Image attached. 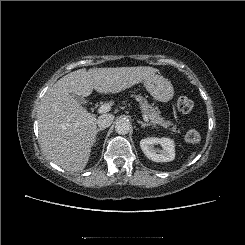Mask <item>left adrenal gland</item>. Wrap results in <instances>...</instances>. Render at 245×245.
Segmentation results:
<instances>
[{
    "label": "left adrenal gland",
    "mask_w": 245,
    "mask_h": 245,
    "mask_svg": "<svg viewBox=\"0 0 245 245\" xmlns=\"http://www.w3.org/2000/svg\"><path fill=\"white\" fill-rule=\"evenodd\" d=\"M139 124H141V127H147V126H152L151 124L144 123L142 121H137Z\"/></svg>",
    "instance_id": "obj_1"
}]
</instances>
